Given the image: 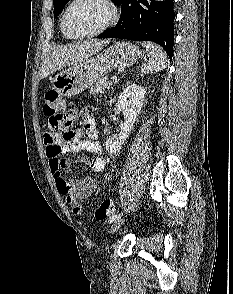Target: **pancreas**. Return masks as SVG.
<instances>
[{"instance_id":"pancreas-1","label":"pancreas","mask_w":233,"mask_h":294,"mask_svg":"<svg viewBox=\"0 0 233 294\" xmlns=\"http://www.w3.org/2000/svg\"><path fill=\"white\" fill-rule=\"evenodd\" d=\"M112 85L113 83L108 77L100 78L91 86L90 93L104 94L106 89H109Z\"/></svg>"}]
</instances>
